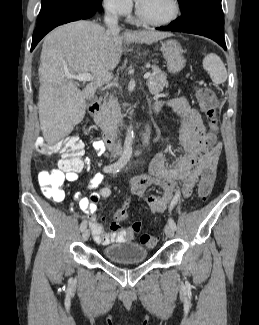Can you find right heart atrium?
Segmentation results:
<instances>
[{
    "instance_id": "d8ad5b80",
    "label": "right heart atrium",
    "mask_w": 259,
    "mask_h": 325,
    "mask_svg": "<svg viewBox=\"0 0 259 325\" xmlns=\"http://www.w3.org/2000/svg\"><path fill=\"white\" fill-rule=\"evenodd\" d=\"M103 6L116 15H127L131 12L132 0H102Z\"/></svg>"
}]
</instances>
